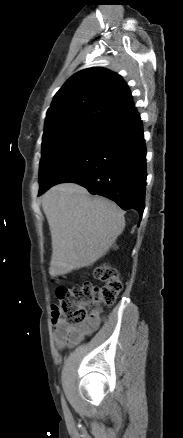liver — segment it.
<instances>
[{
  "label": "liver",
  "instance_id": "6515ba94",
  "mask_svg": "<svg viewBox=\"0 0 183 438\" xmlns=\"http://www.w3.org/2000/svg\"><path fill=\"white\" fill-rule=\"evenodd\" d=\"M42 208L51 232L52 277L95 263L125 228L124 213L115 203L92 197L74 183L49 189L42 198Z\"/></svg>",
  "mask_w": 183,
  "mask_h": 438
}]
</instances>
